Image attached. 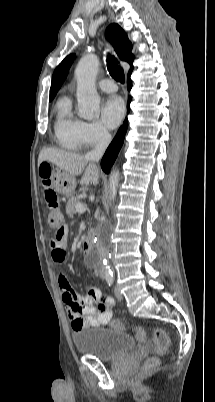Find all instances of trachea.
I'll list each match as a JSON object with an SVG mask.
<instances>
[{"label":"trachea","instance_id":"3493384b","mask_svg":"<svg viewBox=\"0 0 215 402\" xmlns=\"http://www.w3.org/2000/svg\"><path fill=\"white\" fill-rule=\"evenodd\" d=\"M106 61H107V68H108L110 75L116 81H118L120 83H124L125 82L124 71L117 64V60L114 58V56H108Z\"/></svg>","mask_w":215,"mask_h":402}]
</instances>
